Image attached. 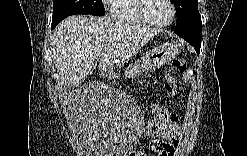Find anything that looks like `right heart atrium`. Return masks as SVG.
I'll return each mask as SVG.
<instances>
[{
  "mask_svg": "<svg viewBox=\"0 0 247 156\" xmlns=\"http://www.w3.org/2000/svg\"><path fill=\"white\" fill-rule=\"evenodd\" d=\"M113 2H114V1H109V2H107V3H108V4H113Z\"/></svg>",
  "mask_w": 247,
  "mask_h": 156,
  "instance_id": "1",
  "label": "right heart atrium"
}]
</instances>
